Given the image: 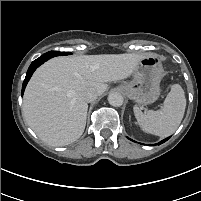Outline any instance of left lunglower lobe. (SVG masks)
Instances as JSON below:
<instances>
[{
  "label": "left lung lower lobe",
  "instance_id": "obj_1",
  "mask_svg": "<svg viewBox=\"0 0 201 201\" xmlns=\"http://www.w3.org/2000/svg\"><path fill=\"white\" fill-rule=\"evenodd\" d=\"M169 138H170V137H168V138H166V139H164V140L160 141V142L158 143V145H160V144H162V143L166 142V141H167Z\"/></svg>",
  "mask_w": 201,
  "mask_h": 201
}]
</instances>
